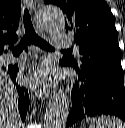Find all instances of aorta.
<instances>
[{"instance_id": "aorta-1", "label": "aorta", "mask_w": 125, "mask_h": 128, "mask_svg": "<svg viewBox=\"0 0 125 128\" xmlns=\"http://www.w3.org/2000/svg\"><path fill=\"white\" fill-rule=\"evenodd\" d=\"M39 26L47 33H59L65 28V16L60 8L46 5L37 13ZM70 109V99L62 89L49 101L44 117V128H65Z\"/></svg>"}]
</instances>
